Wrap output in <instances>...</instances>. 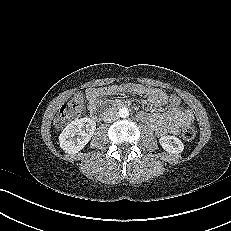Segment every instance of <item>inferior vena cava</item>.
Segmentation results:
<instances>
[{
	"mask_svg": "<svg viewBox=\"0 0 231 231\" xmlns=\"http://www.w3.org/2000/svg\"><path fill=\"white\" fill-rule=\"evenodd\" d=\"M118 117V112L114 109H108L102 115L103 121L108 123L116 121Z\"/></svg>",
	"mask_w": 231,
	"mask_h": 231,
	"instance_id": "inferior-vena-cava-1",
	"label": "inferior vena cava"
}]
</instances>
